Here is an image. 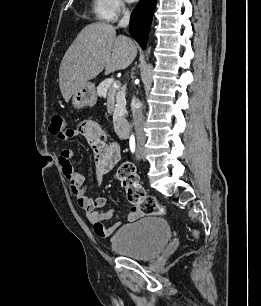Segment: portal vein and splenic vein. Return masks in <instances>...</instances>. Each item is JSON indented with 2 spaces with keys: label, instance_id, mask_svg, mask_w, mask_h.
Segmentation results:
<instances>
[{
  "label": "portal vein and splenic vein",
  "instance_id": "18ae733b",
  "mask_svg": "<svg viewBox=\"0 0 261 306\" xmlns=\"http://www.w3.org/2000/svg\"><path fill=\"white\" fill-rule=\"evenodd\" d=\"M113 86H114L115 88H118V87L120 86V83L115 82V83L113 84Z\"/></svg>",
  "mask_w": 261,
  "mask_h": 306
}]
</instances>
